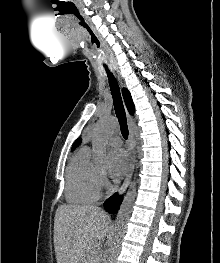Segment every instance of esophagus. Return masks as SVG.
<instances>
[{
    "label": "esophagus",
    "mask_w": 220,
    "mask_h": 263,
    "mask_svg": "<svg viewBox=\"0 0 220 263\" xmlns=\"http://www.w3.org/2000/svg\"><path fill=\"white\" fill-rule=\"evenodd\" d=\"M122 84V82H121ZM127 115V121H128V127H129V136H128V154H129V165L127 169V173L125 176V179L119 188L118 194L121 195L124 193L128 185L130 184L134 168H135V163H136V157H135V141H134V130H133V124H134V119L133 117L129 114L128 111H126Z\"/></svg>",
    "instance_id": "esophagus-1"
}]
</instances>
